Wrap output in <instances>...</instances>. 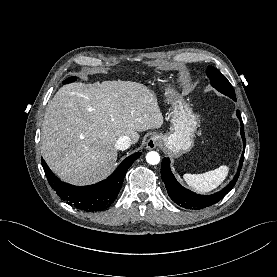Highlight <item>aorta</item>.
I'll list each match as a JSON object with an SVG mask.
<instances>
[{
    "instance_id": "1",
    "label": "aorta",
    "mask_w": 277,
    "mask_h": 277,
    "mask_svg": "<svg viewBox=\"0 0 277 277\" xmlns=\"http://www.w3.org/2000/svg\"><path fill=\"white\" fill-rule=\"evenodd\" d=\"M146 160L149 164L156 165L160 162V155L155 151L148 152Z\"/></svg>"
}]
</instances>
